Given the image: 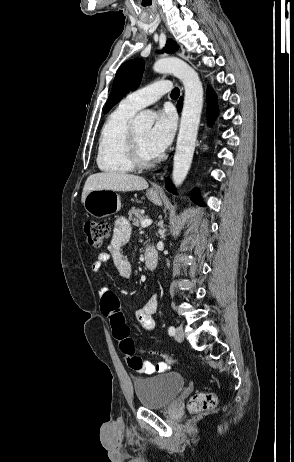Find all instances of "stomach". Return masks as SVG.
<instances>
[{"label":"stomach","instance_id":"obj_1","mask_svg":"<svg viewBox=\"0 0 294 462\" xmlns=\"http://www.w3.org/2000/svg\"><path fill=\"white\" fill-rule=\"evenodd\" d=\"M146 195L154 204H162L161 197L153 189L148 190ZM83 205L85 210L96 218L116 214L121 209L119 195L115 191L106 189L89 191Z\"/></svg>","mask_w":294,"mask_h":462}]
</instances>
